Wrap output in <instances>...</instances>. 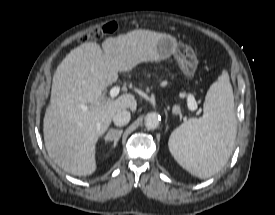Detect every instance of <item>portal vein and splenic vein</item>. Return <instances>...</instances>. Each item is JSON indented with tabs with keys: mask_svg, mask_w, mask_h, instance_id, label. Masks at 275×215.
Returning <instances> with one entry per match:
<instances>
[{
	"mask_svg": "<svg viewBox=\"0 0 275 215\" xmlns=\"http://www.w3.org/2000/svg\"><path fill=\"white\" fill-rule=\"evenodd\" d=\"M119 91H120V87L115 86L110 90L109 94L112 98H114L119 94ZM187 106H188L189 110H191V111H194L197 109V103L195 101V98L192 95H189L187 98ZM82 109L87 110V107L82 106Z\"/></svg>",
	"mask_w": 275,
	"mask_h": 215,
	"instance_id": "1",
	"label": "portal vein and splenic vein"
}]
</instances>
